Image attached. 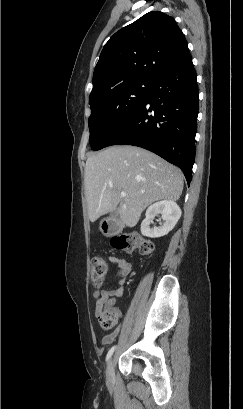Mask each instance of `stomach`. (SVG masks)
Here are the masks:
<instances>
[{
  "label": "stomach",
  "mask_w": 243,
  "mask_h": 409,
  "mask_svg": "<svg viewBox=\"0 0 243 409\" xmlns=\"http://www.w3.org/2000/svg\"><path fill=\"white\" fill-rule=\"evenodd\" d=\"M100 230L105 235H108L110 233V229L108 227H105L102 223L100 224Z\"/></svg>",
  "instance_id": "stomach-1"
}]
</instances>
